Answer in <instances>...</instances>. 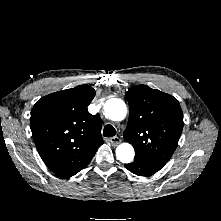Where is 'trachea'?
<instances>
[{"mask_svg":"<svg viewBox=\"0 0 221 221\" xmlns=\"http://www.w3.org/2000/svg\"><path fill=\"white\" fill-rule=\"evenodd\" d=\"M115 135H116V130H115V128L112 125L108 124V125H106L104 127V129H103V136H105V137H113Z\"/></svg>","mask_w":221,"mask_h":221,"instance_id":"trachea-1","label":"trachea"}]
</instances>
